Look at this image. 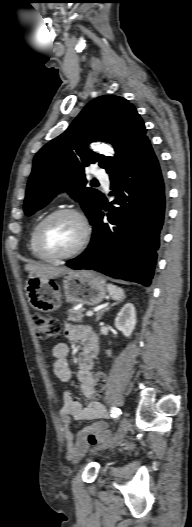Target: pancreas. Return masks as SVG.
<instances>
[{
	"mask_svg": "<svg viewBox=\"0 0 192 527\" xmlns=\"http://www.w3.org/2000/svg\"><path fill=\"white\" fill-rule=\"evenodd\" d=\"M86 311L85 308H80L78 310H68V321L73 322H82L84 317V312Z\"/></svg>",
	"mask_w": 192,
	"mask_h": 527,
	"instance_id": "cf45deb5",
	"label": "pancreas"
}]
</instances>
